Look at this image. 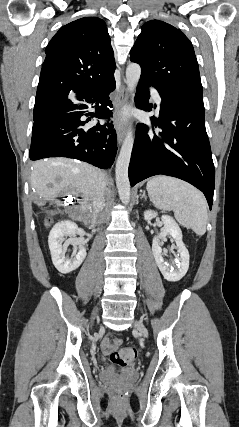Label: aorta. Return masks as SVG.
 <instances>
[{"label": "aorta", "mask_w": 239, "mask_h": 427, "mask_svg": "<svg viewBox=\"0 0 239 427\" xmlns=\"http://www.w3.org/2000/svg\"><path fill=\"white\" fill-rule=\"evenodd\" d=\"M141 67L137 63H131L126 69V83L127 89L131 95L134 94L137 83L140 79ZM133 132L131 128L128 129L125 139L123 141L120 154L116 163V185L119 193L120 200L123 204L127 205L130 202V182L128 177V167L130 163L131 153L133 149Z\"/></svg>", "instance_id": "762f6f07"}]
</instances>
